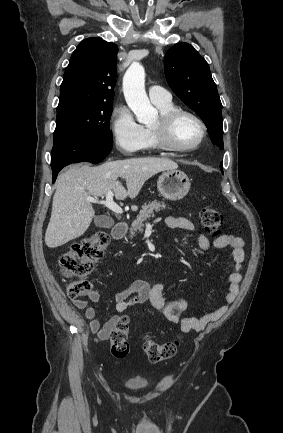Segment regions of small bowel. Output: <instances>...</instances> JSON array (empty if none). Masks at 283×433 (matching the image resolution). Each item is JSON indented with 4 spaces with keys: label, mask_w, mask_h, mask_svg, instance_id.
<instances>
[{
    "label": "small bowel",
    "mask_w": 283,
    "mask_h": 433,
    "mask_svg": "<svg viewBox=\"0 0 283 433\" xmlns=\"http://www.w3.org/2000/svg\"><path fill=\"white\" fill-rule=\"evenodd\" d=\"M166 225L172 229H181L188 232H195L196 227L189 219L184 217L168 216ZM197 244L200 249L208 250L211 246L217 249L231 248L233 266L229 275V289L224 303L211 313L202 317L191 314L188 303L185 299L168 301L164 297L165 285L163 283L149 284L144 280H135L127 288L114 295L115 315H113L103 326L96 319L95 310L83 299H73L76 308L85 311L89 330L95 334V341L107 340L122 316V313L135 305L149 303L154 309L161 312L164 317L180 326L184 333L190 331H202L211 322L220 319L236 300L239 292V285L242 279L241 269L245 260V242L242 238L233 235H222L211 241L206 235L198 234ZM91 302L96 303L100 299V290L95 288L88 294ZM68 316L74 323L83 325V320L72 310Z\"/></svg>",
    "instance_id": "obj_1"
}]
</instances>
